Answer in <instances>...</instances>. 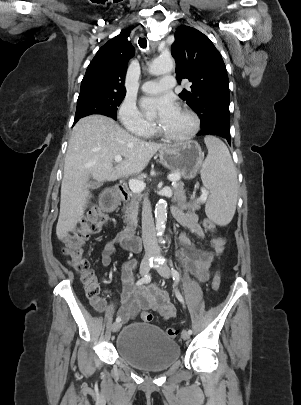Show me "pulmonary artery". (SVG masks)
<instances>
[{"instance_id":"e3ab8cb5","label":"pulmonary artery","mask_w":301,"mask_h":405,"mask_svg":"<svg viewBox=\"0 0 301 405\" xmlns=\"http://www.w3.org/2000/svg\"><path fill=\"white\" fill-rule=\"evenodd\" d=\"M175 78L171 75L164 76L159 80L146 81L142 84L141 89L145 93L156 94L171 89L175 86Z\"/></svg>"}]
</instances>
